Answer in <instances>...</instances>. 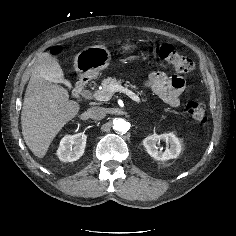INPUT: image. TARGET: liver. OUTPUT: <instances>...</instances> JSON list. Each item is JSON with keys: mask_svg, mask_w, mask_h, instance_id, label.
Listing matches in <instances>:
<instances>
[{"mask_svg": "<svg viewBox=\"0 0 236 236\" xmlns=\"http://www.w3.org/2000/svg\"><path fill=\"white\" fill-rule=\"evenodd\" d=\"M53 82L47 69L38 63L24 96L22 134L26 145L38 158L46 155L55 136L80 110L77 102L69 100L68 91Z\"/></svg>", "mask_w": 236, "mask_h": 236, "instance_id": "liver-1", "label": "liver"}]
</instances>
